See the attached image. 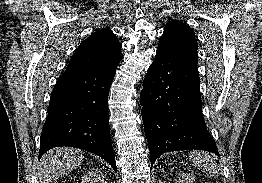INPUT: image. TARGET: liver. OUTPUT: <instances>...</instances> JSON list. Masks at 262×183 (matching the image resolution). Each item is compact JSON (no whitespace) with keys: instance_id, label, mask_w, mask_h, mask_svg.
Here are the masks:
<instances>
[{"instance_id":"6515ba94","label":"liver","mask_w":262,"mask_h":183,"mask_svg":"<svg viewBox=\"0 0 262 183\" xmlns=\"http://www.w3.org/2000/svg\"><path fill=\"white\" fill-rule=\"evenodd\" d=\"M83 158L82 151L75 148L62 147L49 150L41 159L38 178L41 183H50L77 168L83 162Z\"/></svg>"}]
</instances>
